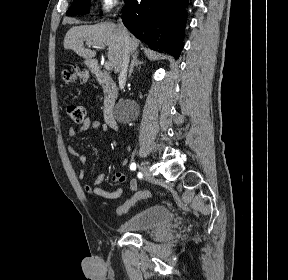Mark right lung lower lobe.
Masks as SVG:
<instances>
[{"label": "right lung lower lobe", "instance_id": "98d812e1", "mask_svg": "<svg viewBox=\"0 0 288 280\" xmlns=\"http://www.w3.org/2000/svg\"><path fill=\"white\" fill-rule=\"evenodd\" d=\"M122 20L127 29L153 50L177 59L183 48L188 0H124Z\"/></svg>", "mask_w": 288, "mask_h": 280}]
</instances>
